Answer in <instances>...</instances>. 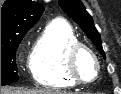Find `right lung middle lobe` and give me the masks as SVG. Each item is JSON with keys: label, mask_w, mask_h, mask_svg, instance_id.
Returning a JSON list of instances; mask_svg holds the SVG:
<instances>
[{"label": "right lung middle lobe", "mask_w": 121, "mask_h": 94, "mask_svg": "<svg viewBox=\"0 0 121 94\" xmlns=\"http://www.w3.org/2000/svg\"><path fill=\"white\" fill-rule=\"evenodd\" d=\"M28 30H22L1 37V85H8L19 79L16 65V50Z\"/></svg>", "instance_id": "1"}]
</instances>
